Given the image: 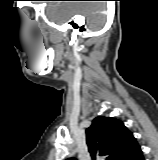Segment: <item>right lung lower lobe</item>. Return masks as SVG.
Segmentation results:
<instances>
[{
    "label": "right lung lower lobe",
    "mask_w": 158,
    "mask_h": 160,
    "mask_svg": "<svg viewBox=\"0 0 158 160\" xmlns=\"http://www.w3.org/2000/svg\"><path fill=\"white\" fill-rule=\"evenodd\" d=\"M126 160H144L140 146Z\"/></svg>",
    "instance_id": "1"
}]
</instances>
